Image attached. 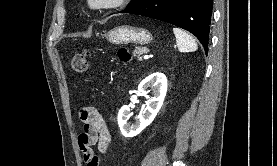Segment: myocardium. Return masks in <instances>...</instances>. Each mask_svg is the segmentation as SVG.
I'll return each mask as SVG.
<instances>
[{
  "mask_svg": "<svg viewBox=\"0 0 277 166\" xmlns=\"http://www.w3.org/2000/svg\"><path fill=\"white\" fill-rule=\"evenodd\" d=\"M125 2L126 0H85L84 4L87 10L91 12H100L118 9L122 7Z\"/></svg>",
  "mask_w": 277,
  "mask_h": 166,
  "instance_id": "1",
  "label": "myocardium"
}]
</instances>
